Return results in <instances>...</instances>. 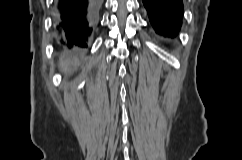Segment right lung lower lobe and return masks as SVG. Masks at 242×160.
Wrapping results in <instances>:
<instances>
[{"label":"right lung lower lobe","mask_w":242,"mask_h":160,"mask_svg":"<svg viewBox=\"0 0 242 160\" xmlns=\"http://www.w3.org/2000/svg\"><path fill=\"white\" fill-rule=\"evenodd\" d=\"M102 0H56L55 31L62 44L87 47Z\"/></svg>","instance_id":"98d812e1"}]
</instances>
